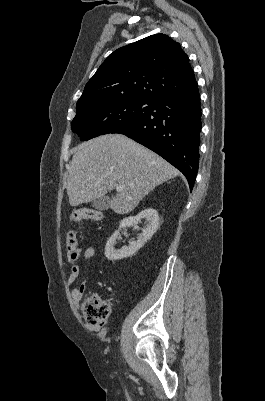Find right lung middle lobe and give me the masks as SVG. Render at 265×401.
I'll list each match as a JSON object with an SVG mask.
<instances>
[{"label": "right lung middle lobe", "instance_id": "obj_1", "mask_svg": "<svg viewBox=\"0 0 265 401\" xmlns=\"http://www.w3.org/2000/svg\"><path fill=\"white\" fill-rule=\"evenodd\" d=\"M157 102L145 98H101L76 106L77 114L71 123L72 131L81 140L114 133L151 115Z\"/></svg>", "mask_w": 265, "mask_h": 401}]
</instances>
